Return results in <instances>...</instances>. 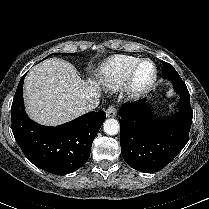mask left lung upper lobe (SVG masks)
<instances>
[{
	"label": "left lung upper lobe",
	"mask_w": 209,
	"mask_h": 209,
	"mask_svg": "<svg viewBox=\"0 0 209 209\" xmlns=\"http://www.w3.org/2000/svg\"><path fill=\"white\" fill-rule=\"evenodd\" d=\"M174 76H179V74L177 73V71L174 69V67L171 64L164 62L163 69H162V77L169 78V77H174Z\"/></svg>",
	"instance_id": "left-lung-upper-lobe-1"
}]
</instances>
